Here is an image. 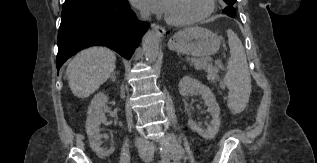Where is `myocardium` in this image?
<instances>
[{
	"mask_svg": "<svg viewBox=\"0 0 317 163\" xmlns=\"http://www.w3.org/2000/svg\"><path fill=\"white\" fill-rule=\"evenodd\" d=\"M215 6H216L215 0H206V6H205L204 11L201 14H199L191 19L174 20V19H171V18L166 16L165 20L168 24L175 26V27L191 26V25L199 23V22L207 19L209 16H211L213 14V12L215 11Z\"/></svg>",
	"mask_w": 317,
	"mask_h": 163,
	"instance_id": "obj_1",
	"label": "myocardium"
}]
</instances>
